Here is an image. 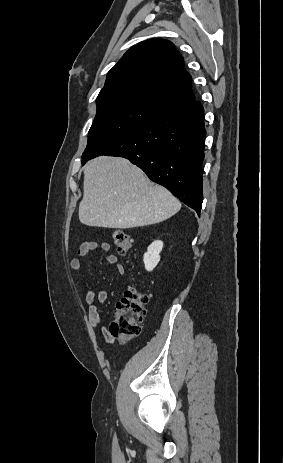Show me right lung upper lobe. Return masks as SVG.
<instances>
[{"instance_id": "obj_1", "label": "right lung upper lobe", "mask_w": 283, "mask_h": 463, "mask_svg": "<svg viewBox=\"0 0 283 463\" xmlns=\"http://www.w3.org/2000/svg\"><path fill=\"white\" fill-rule=\"evenodd\" d=\"M191 76L174 45L149 39L130 48L108 72L99 95L117 92L147 102L160 111L195 99Z\"/></svg>"}]
</instances>
